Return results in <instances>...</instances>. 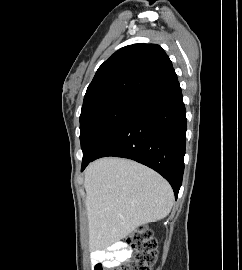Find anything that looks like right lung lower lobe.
<instances>
[{"instance_id":"1","label":"right lung lower lobe","mask_w":242,"mask_h":270,"mask_svg":"<svg viewBox=\"0 0 242 270\" xmlns=\"http://www.w3.org/2000/svg\"><path fill=\"white\" fill-rule=\"evenodd\" d=\"M186 110L178 80L138 102L95 155L133 159L161 174L177 198L184 172Z\"/></svg>"}]
</instances>
